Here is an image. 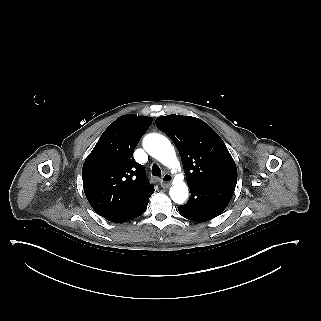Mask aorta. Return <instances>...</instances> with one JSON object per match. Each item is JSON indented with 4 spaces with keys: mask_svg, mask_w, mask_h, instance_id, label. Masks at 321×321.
I'll return each instance as SVG.
<instances>
[{
    "mask_svg": "<svg viewBox=\"0 0 321 321\" xmlns=\"http://www.w3.org/2000/svg\"><path fill=\"white\" fill-rule=\"evenodd\" d=\"M143 147L150 156L163 165L173 170L181 169L174 147L165 136L158 133L148 134L143 140ZM183 178L182 174L176 177L169 192L171 199L177 204L184 203L188 197V187Z\"/></svg>",
    "mask_w": 321,
    "mask_h": 321,
    "instance_id": "aorta-1",
    "label": "aorta"
}]
</instances>
